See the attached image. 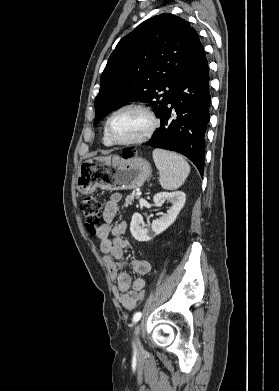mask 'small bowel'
Instances as JSON below:
<instances>
[{
	"mask_svg": "<svg viewBox=\"0 0 279 391\" xmlns=\"http://www.w3.org/2000/svg\"><path fill=\"white\" fill-rule=\"evenodd\" d=\"M120 200L119 194L111 196L105 206L104 222L99 226L96 235L100 240V249L104 253L103 260L115 285V296L125 309L133 310L139 302V292L146 286V280L139 277L132 281L124 267L128 265L136 274L144 276L149 273L151 264L142 259L128 261L125 257L127 243L121 235L126 229V223L122 221L117 225L112 224Z\"/></svg>",
	"mask_w": 279,
	"mask_h": 391,
	"instance_id": "c3829d8e",
	"label": "small bowel"
}]
</instances>
